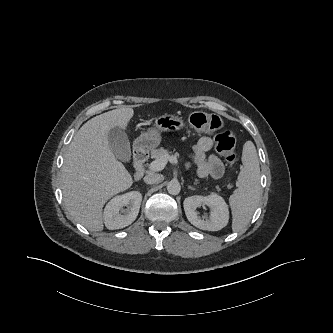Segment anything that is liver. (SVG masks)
<instances>
[{"label":"liver","mask_w":333,"mask_h":333,"mask_svg":"<svg viewBox=\"0 0 333 333\" xmlns=\"http://www.w3.org/2000/svg\"><path fill=\"white\" fill-rule=\"evenodd\" d=\"M134 115L125 106L93 117L75 134L61 172L63 201L68 213L90 231H102L104 204L130 188L133 179L110 149L108 133L126 129Z\"/></svg>","instance_id":"liver-1"}]
</instances>
